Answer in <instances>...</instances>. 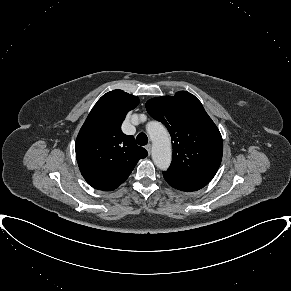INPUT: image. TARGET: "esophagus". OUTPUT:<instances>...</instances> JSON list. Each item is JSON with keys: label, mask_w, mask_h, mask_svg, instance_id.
Returning <instances> with one entry per match:
<instances>
[{"label": "esophagus", "mask_w": 291, "mask_h": 291, "mask_svg": "<svg viewBox=\"0 0 291 291\" xmlns=\"http://www.w3.org/2000/svg\"><path fill=\"white\" fill-rule=\"evenodd\" d=\"M151 149H152L151 144L146 145V150L148 151L149 154L151 153Z\"/></svg>", "instance_id": "34e87169"}]
</instances>
